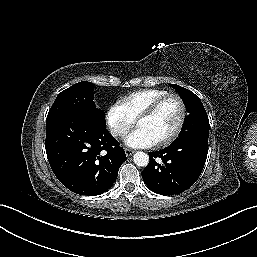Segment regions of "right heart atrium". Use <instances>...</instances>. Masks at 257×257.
I'll return each instance as SVG.
<instances>
[{
  "instance_id": "right-heart-atrium-1",
  "label": "right heart atrium",
  "mask_w": 257,
  "mask_h": 257,
  "mask_svg": "<svg viewBox=\"0 0 257 257\" xmlns=\"http://www.w3.org/2000/svg\"><path fill=\"white\" fill-rule=\"evenodd\" d=\"M105 120L110 133L116 138L124 136L135 123L134 118L120 101L108 107Z\"/></svg>"
}]
</instances>
